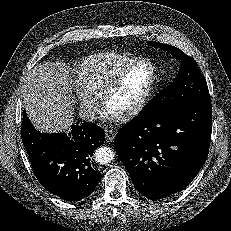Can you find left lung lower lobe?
<instances>
[{
  "label": "left lung lower lobe",
  "instance_id": "left-lung-lower-lobe-1",
  "mask_svg": "<svg viewBox=\"0 0 231 231\" xmlns=\"http://www.w3.org/2000/svg\"><path fill=\"white\" fill-rule=\"evenodd\" d=\"M211 131V102L197 101L155 118H133L117 133L115 148L137 190L161 199L196 177L208 156Z\"/></svg>",
  "mask_w": 231,
  "mask_h": 231
}]
</instances>
